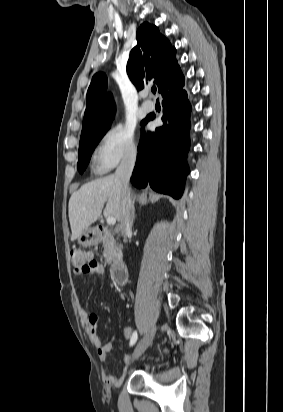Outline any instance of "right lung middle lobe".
Here are the masks:
<instances>
[{
  "label": "right lung middle lobe",
  "instance_id": "1",
  "mask_svg": "<svg viewBox=\"0 0 283 412\" xmlns=\"http://www.w3.org/2000/svg\"><path fill=\"white\" fill-rule=\"evenodd\" d=\"M107 132H97L94 134H90L88 136H85L80 139V145H79V155H78V171L82 174L84 170L86 169L91 155L101 140V138L104 136V134Z\"/></svg>",
  "mask_w": 283,
  "mask_h": 412
}]
</instances>
